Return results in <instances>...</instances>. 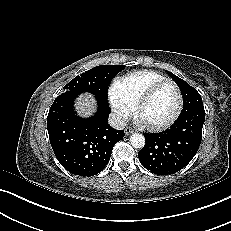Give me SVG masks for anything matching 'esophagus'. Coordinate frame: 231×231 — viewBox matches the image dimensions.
I'll return each mask as SVG.
<instances>
[{
    "mask_svg": "<svg viewBox=\"0 0 231 231\" xmlns=\"http://www.w3.org/2000/svg\"><path fill=\"white\" fill-rule=\"evenodd\" d=\"M133 132H134V129H133V128H131V127L125 128V134H126V135H129V134H131V133H133Z\"/></svg>",
    "mask_w": 231,
    "mask_h": 231,
    "instance_id": "1",
    "label": "esophagus"
}]
</instances>
